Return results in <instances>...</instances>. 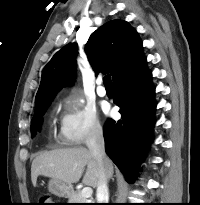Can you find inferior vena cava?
I'll return each mask as SVG.
<instances>
[{
	"instance_id": "602c4592",
	"label": "inferior vena cava",
	"mask_w": 200,
	"mask_h": 205,
	"mask_svg": "<svg viewBox=\"0 0 200 205\" xmlns=\"http://www.w3.org/2000/svg\"><path fill=\"white\" fill-rule=\"evenodd\" d=\"M86 144L89 152L96 158L100 168V178L96 191L97 201L98 203H108V178L104 167V162L107 158L104 149L103 131L100 125H95L91 128Z\"/></svg>"
}]
</instances>
